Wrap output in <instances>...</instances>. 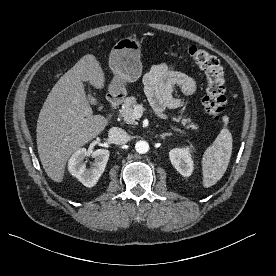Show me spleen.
<instances>
[{
  "label": "spleen",
  "instance_id": "obj_1",
  "mask_svg": "<svg viewBox=\"0 0 276 276\" xmlns=\"http://www.w3.org/2000/svg\"><path fill=\"white\" fill-rule=\"evenodd\" d=\"M229 118L223 117L224 127L206 149L202 158L203 186L205 188L216 184L224 175L232 153V134L227 129Z\"/></svg>",
  "mask_w": 276,
  "mask_h": 276
}]
</instances>
